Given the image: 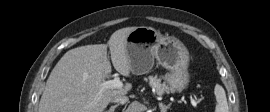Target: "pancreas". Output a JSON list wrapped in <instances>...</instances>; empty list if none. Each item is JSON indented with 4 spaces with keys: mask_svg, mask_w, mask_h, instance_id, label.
Listing matches in <instances>:
<instances>
[{
    "mask_svg": "<svg viewBox=\"0 0 270 112\" xmlns=\"http://www.w3.org/2000/svg\"><path fill=\"white\" fill-rule=\"evenodd\" d=\"M146 80L148 81L149 86L155 88L157 94L159 95H162L169 90L167 85L164 83L162 84L161 79L157 78V76H149Z\"/></svg>",
    "mask_w": 270,
    "mask_h": 112,
    "instance_id": "obj_1",
    "label": "pancreas"
}]
</instances>
